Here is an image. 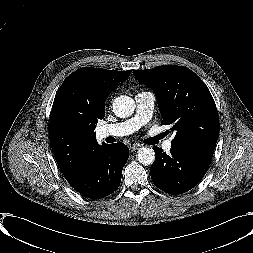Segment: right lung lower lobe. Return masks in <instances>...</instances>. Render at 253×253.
Returning <instances> with one entry per match:
<instances>
[{"instance_id":"1","label":"right lung lower lobe","mask_w":253,"mask_h":253,"mask_svg":"<svg viewBox=\"0 0 253 253\" xmlns=\"http://www.w3.org/2000/svg\"><path fill=\"white\" fill-rule=\"evenodd\" d=\"M128 157L129 149L124 143L98 145L86 159L78 175L69 183L85 197H106L119 187L122 169Z\"/></svg>"}]
</instances>
